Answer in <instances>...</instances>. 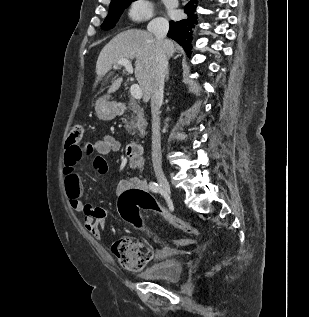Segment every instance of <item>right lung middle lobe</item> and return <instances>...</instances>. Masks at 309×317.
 Here are the masks:
<instances>
[{
	"label": "right lung middle lobe",
	"mask_w": 309,
	"mask_h": 317,
	"mask_svg": "<svg viewBox=\"0 0 309 317\" xmlns=\"http://www.w3.org/2000/svg\"><path fill=\"white\" fill-rule=\"evenodd\" d=\"M135 0H112L109 7V13L101 25L103 30L113 28L118 21L121 13L127 8L131 2Z\"/></svg>",
	"instance_id": "dd1d6c3e"
}]
</instances>
